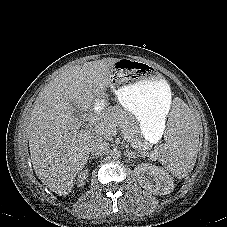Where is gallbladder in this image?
Here are the masks:
<instances>
[{
    "instance_id": "obj_1",
    "label": "gallbladder",
    "mask_w": 227,
    "mask_h": 227,
    "mask_svg": "<svg viewBox=\"0 0 227 227\" xmlns=\"http://www.w3.org/2000/svg\"><path fill=\"white\" fill-rule=\"evenodd\" d=\"M76 108V112H75V114H76V116L80 119V120H84L85 119V114L84 113H82L77 107H75Z\"/></svg>"
}]
</instances>
